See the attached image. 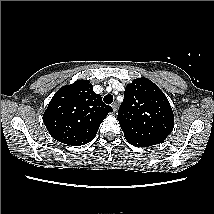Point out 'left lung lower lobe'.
<instances>
[{
  "label": "left lung lower lobe",
  "mask_w": 214,
  "mask_h": 214,
  "mask_svg": "<svg viewBox=\"0 0 214 214\" xmlns=\"http://www.w3.org/2000/svg\"><path fill=\"white\" fill-rule=\"evenodd\" d=\"M129 143L132 144L133 146H136V147H148V146H146V145L133 144V143H131V142H129Z\"/></svg>",
  "instance_id": "obj_1"
}]
</instances>
